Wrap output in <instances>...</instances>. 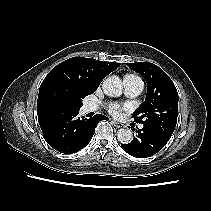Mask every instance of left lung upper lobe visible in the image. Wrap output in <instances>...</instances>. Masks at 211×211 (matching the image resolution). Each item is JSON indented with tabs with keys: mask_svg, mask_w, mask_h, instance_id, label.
<instances>
[{
	"mask_svg": "<svg viewBox=\"0 0 211 211\" xmlns=\"http://www.w3.org/2000/svg\"><path fill=\"white\" fill-rule=\"evenodd\" d=\"M126 65L147 82L146 99L134 112V121L170 138L178 117L179 97L174 83L153 63L135 62Z\"/></svg>",
	"mask_w": 211,
	"mask_h": 211,
	"instance_id": "left-lung-upper-lobe-1",
	"label": "left lung upper lobe"
}]
</instances>
